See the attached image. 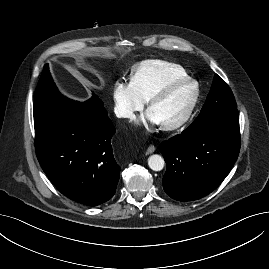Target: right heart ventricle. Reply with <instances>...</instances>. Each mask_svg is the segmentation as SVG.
I'll list each match as a JSON object with an SVG mask.
<instances>
[{"mask_svg":"<svg viewBox=\"0 0 269 269\" xmlns=\"http://www.w3.org/2000/svg\"><path fill=\"white\" fill-rule=\"evenodd\" d=\"M185 69L162 60H147L141 63L131 77V83L144 101L166 85L187 79Z\"/></svg>","mask_w":269,"mask_h":269,"instance_id":"obj_1","label":"right heart ventricle"}]
</instances>
